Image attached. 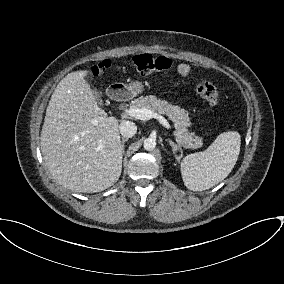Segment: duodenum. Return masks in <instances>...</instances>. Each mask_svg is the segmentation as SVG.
I'll return each instance as SVG.
<instances>
[{
    "label": "duodenum",
    "instance_id": "410a0bca",
    "mask_svg": "<svg viewBox=\"0 0 284 284\" xmlns=\"http://www.w3.org/2000/svg\"><path fill=\"white\" fill-rule=\"evenodd\" d=\"M109 95L115 102H121L127 98L128 91L123 87H115L110 90Z\"/></svg>",
    "mask_w": 284,
    "mask_h": 284
}]
</instances>
